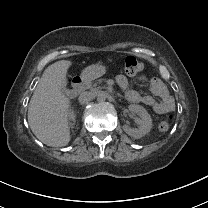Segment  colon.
Segmentation results:
<instances>
[{
    "instance_id": "obj_1",
    "label": "colon",
    "mask_w": 208,
    "mask_h": 208,
    "mask_svg": "<svg viewBox=\"0 0 208 208\" xmlns=\"http://www.w3.org/2000/svg\"><path fill=\"white\" fill-rule=\"evenodd\" d=\"M143 68L142 63L135 55H128L124 60L125 74L128 76L136 75ZM171 117L164 116L159 123V130L166 132L171 127Z\"/></svg>"
}]
</instances>
